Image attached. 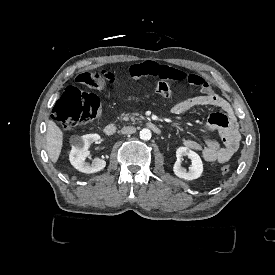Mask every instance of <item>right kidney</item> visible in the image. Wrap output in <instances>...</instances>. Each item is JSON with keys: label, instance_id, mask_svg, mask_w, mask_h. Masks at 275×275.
Returning a JSON list of instances; mask_svg holds the SVG:
<instances>
[{"label": "right kidney", "instance_id": "1", "mask_svg": "<svg viewBox=\"0 0 275 275\" xmlns=\"http://www.w3.org/2000/svg\"><path fill=\"white\" fill-rule=\"evenodd\" d=\"M100 136L97 134H86L83 136L73 135L70 137L71 151L69 161L72 166L79 172L92 174L103 170L106 166V161L102 159L96 160L93 165L85 162L88 154L87 150L92 143L98 142Z\"/></svg>", "mask_w": 275, "mask_h": 275}]
</instances>
